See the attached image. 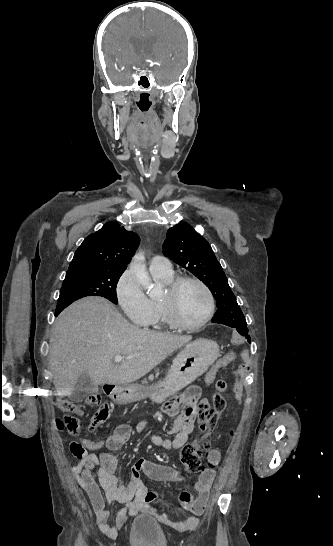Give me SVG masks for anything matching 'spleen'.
I'll use <instances>...</instances> for the list:
<instances>
[{"mask_svg": "<svg viewBox=\"0 0 333 546\" xmlns=\"http://www.w3.org/2000/svg\"><path fill=\"white\" fill-rule=\"evenodd\" d=\"M241 373L243 374V373H244V370H241Z\"/></svg>", "mask_w": 333, "mask_h": 546, "instance_id": "spleen-1", "label": "spleen"}]
</instances>
